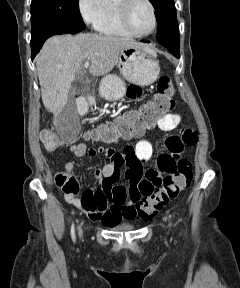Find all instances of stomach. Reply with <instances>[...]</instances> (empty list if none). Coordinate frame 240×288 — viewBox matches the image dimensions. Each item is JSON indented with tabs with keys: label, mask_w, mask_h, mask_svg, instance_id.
<instances>
[{
	"label": "stomach",
	"mask_w": 240,
	"mask_h": 288,
	"mask_svg": "<svg viewBox=\"0 0 240 288\" xmlns=\"http://www.w3.org/2000/svg\"><path fill=\"white\" fill-rule=\"evenodd\" d=\"M117 65L124 79L139 86L152 84L160 72L156 53L145 47L122 49L117 58ZM99 93L105 99L115 101L126 94V86L123 79L117 75H107L99 85Z\"/></svg>",
	"instance_id": "obj_1"
}]
</instances>
